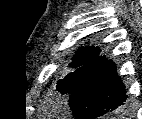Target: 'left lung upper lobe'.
Returning <instances> with one entry per match:
<instances>
[{"label": "left lung upper lobe", "mask_w": 142, "mask_h": 119, "mask_svg": "<svg viewBox=\"0 0 142 119\" xmlns=\"http://www.w3.org/2000/svg\"><path fill=\"white\" fill-rule=\"evenodd\" d=\"M105 56H99V50L92 47L80 49L70 66L73 72L58 82L57 89L62 94H70L79 84L85 74L99 64Z\"/></svg>", "instance_id": "obj_1"}]
</instances>
